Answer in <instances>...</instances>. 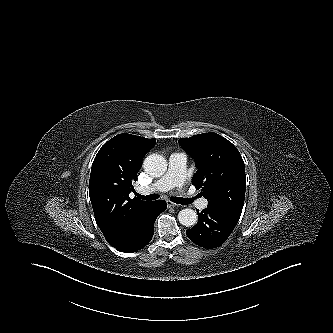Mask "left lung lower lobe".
Segmentation results:
<instances>
[{
	"label": "left lung lower lobe",
	"mask_w": 333,
	"mask_h": 333,
	"mask_svg": "<svg viewBox=\"0 0 333 333\" xmlns=\"http://www.w3.org/2000/svg\"><path fill=\"white\" fill-rule=\"evenodd\" d=\"M198 212L197 224L186 231L189 239L203 248H215L222 245L234 230L239 218L225 210L208 205Z\"/></svg>",
	"instance_id": "obj_1"
}]
</instances>
